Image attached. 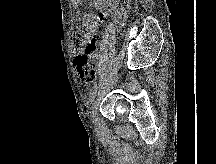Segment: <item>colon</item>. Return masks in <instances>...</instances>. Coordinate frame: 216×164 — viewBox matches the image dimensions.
<instances>
[{"instance_id":"colon-1","label":"colon","mask_w":216,"mask_h":164,"mask_svg":"<svg viewBox=\"0 0 216 164\" xmlns=\"http://www.w3.org/2000/svg\"><path fill=\"white\" fill-rule=\"evenodd\" d=\"M106 10H113L116 14V23L122 26L130 10V0H107ZM104 12L84 19L83 32L74 35L72 39V52L76 55L74 63L81 79L85 83L95 80L97 74V43L92 37L98 28Z\"/></svg>"}]
</instances>
